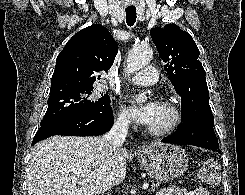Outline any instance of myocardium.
<instances>
[{
    "mask_svg": "<svg viewBox=\"0 0 245 195\" xmlns=\"http://www.w3.org/2000/svg\"><path fill=\"white\" fill-rule=\"evenodd\" d=\"M159 104L163 105L171 112L172 118L169 123L162 128H147V133L153 137H162L173 133L179 128L183 121V113L177 103L169 99H161Z\"/></svg>",
    "mask_w": 245,
    "mask_h": 195,
    "instance_id": "myocardium-1",
    "label": "myocardium"
}]
</instances>
